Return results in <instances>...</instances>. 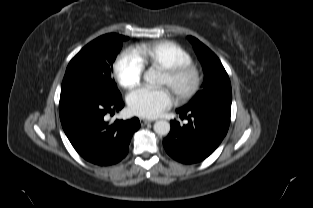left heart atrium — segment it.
<instances>
[{
    "label": "left heart atrium",
    "instance_id": "39dd6f15",
    "mask_svg": "<svg viewBox=\"0 0 313 208\" xmlns=\"http://www.w3.org/2000/svg\"><path fill=\"white\" fill-rule=\"evenodd\" d=\"M172 95L166 88L140 87L127 97L132 113L142 117H157L172 104Z\"/></svg>",
    "mask_w": 313,
    "mask_h": 208
}]
</instances>
